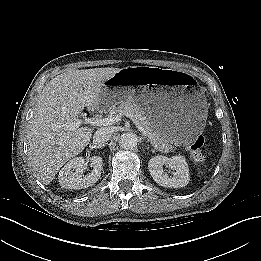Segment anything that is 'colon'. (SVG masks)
<instances>
[{
    "mask_svg": "<svg viewBox=\"0 0 261 261\" xmlns=\"http://www.w3.org/2000/svg\"><path fill=\"white\" fill-rule=\"evenodd\" d=\"M204 145V139L201 136H198L190 146V153L194 160L202 161L205 159L206 155L203 152L202 148Z\"/></svg>",
    "mask_w": 261,
    "mask_h": 261,
    "instance_id": "5ec220e1",
    "label": "colon"
}]
</instances>
